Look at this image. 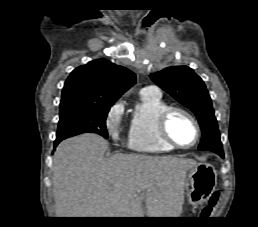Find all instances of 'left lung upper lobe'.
<instances>
[{
  "instance_id": "obj_1",
  "label": "left lung upper lobe",
  "mask_w": 258,
  "mask_h": 227,
  "mask_svg": "<svg viewBox=\"0 0 258 227\" xmlns=\"http://www.w3.org/2000/svg\"><path fill=\"white\" fill-rule=\"evenodd\" d=\"M174 99L188 107L198 118L202 139L198 148L223 154L211 98L202 79L187 66L168 67L150 75Z\"/></svg>"
}]
</instances>
